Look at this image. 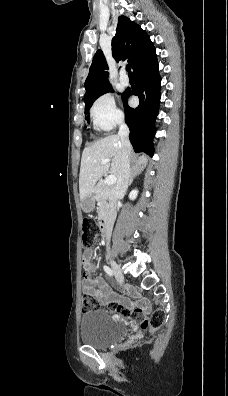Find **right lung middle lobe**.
<instances>
[{
  "label": "right lung middle lobe",
  "mask_w": 228,
  "mask_h": 396,
  "mask_svg": "<svg viewBox=\"0 0 228 396\" xmlns=\"http://www.w3.org/2000/svg\"><path fill=\"white\" fill-rule=\"evenodd\" d=\"M113 89L112 87H108L106 89L101 90L100 92L94 94L93 96H91L89 98V100L87 102H85V114H87L88 109L91 107L92 103L94 100H96L98 97H100L101 95H103L104 93L107 92H112ZM87 122H89V116L86 118Z\"/></svg>",
  "instance_id": "dd1d6c3e"
}]
</instances>
